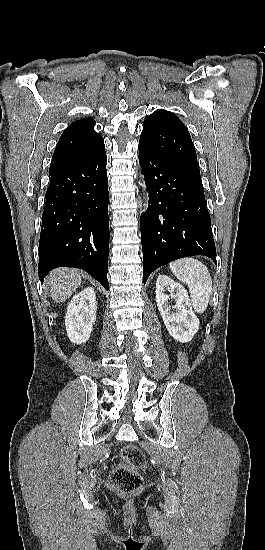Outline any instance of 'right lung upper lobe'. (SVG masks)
<instances>
[{
	"label": "right lung upper lobe",
	"instance_id": "obj_1",
	"mask_svg": "<svg viewBox=\"0 0 265 550\" xmlns=\"http://www.w3.org/2000/svg\"><path fill=\"white\" fill-rule=\"evenodd\" d=\"M94 126L95 121L92 118L77 120L70 124L57 143L50 168L105 151L103 138L94 131Z\"/></svg>",
	"mask_w": 265,
	"mask_h": 550
}]
</instances>
